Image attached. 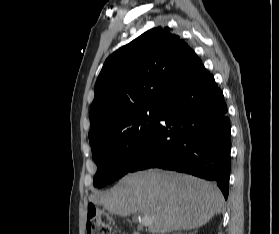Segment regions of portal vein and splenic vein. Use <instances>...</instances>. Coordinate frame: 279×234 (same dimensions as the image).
Here are the masks:
<instances>
[{
  "label": "portal vein and splenic vein",
  "mask_w": 279,
  "mask_h": 234,
  "mask_svg": "<svg viewBox=\"0 0 279 234\" xmlns=\"http://www.w3.org/2000/svg\"><path fill=\"white\" fill-rule=\"evenodd\" d=\"M141 222H142V225H144V226H149V225L152 223V219H151L150 217L144 215V216L142 217Z\"/></svg>",
  "instance_id": "18ae733b"
}]
</instances>
